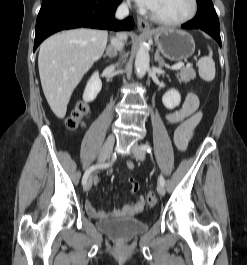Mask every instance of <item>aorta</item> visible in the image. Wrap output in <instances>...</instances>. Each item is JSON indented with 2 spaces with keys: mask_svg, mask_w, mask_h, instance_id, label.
Segmentation results:
<instances>
[{
  "mask_svg": "<svg viewBox=\"0 0 247 265\" xmlns=\"http://www.w3.org/2000/svg\"><path fill=\"white\" fill-rule=\"evenodd\" d=\"M149 61L150 58L148 48L144 43H141L135 59L136 74L139 78L144 77L146 74V71L149 68Z\"/></svg>",
  "mask_w": 247,
  "mask_h": 265,
  "instance_id": "obj_1",
  "label": "aorta"
}]
</instances>
